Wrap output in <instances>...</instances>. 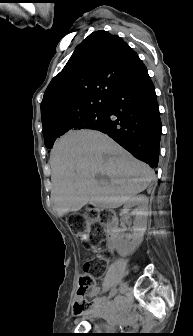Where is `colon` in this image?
<instances>
[{
  "label": "colon",
  "mask_w": 193,
  "mask_h": 336,
  "mask_svg": "<svg viewBox=\"0 0 193 336\" xmlns=\"http://www.w3.org/2000/svg\"><path fill=\"white\" fill-rule=\"evenodd\" d=\"M104 221V214L91 211L86 215L79 213L71 215L68 224L70 228L76 232L77 236L85 242V244H89V242L94 239L101 245L105 240V232L103 229ZM96 251L99 253V256H103L101 247L96 248ZM90 267L91 264L89 262L84 263V273L79 278L77 298L73 309L76 316H79L99 305L96 299L86 298V294L95 286V278L89 273Z\"/></svg>",
  "instance_id": "5ec220e1"
}]
</instances>
